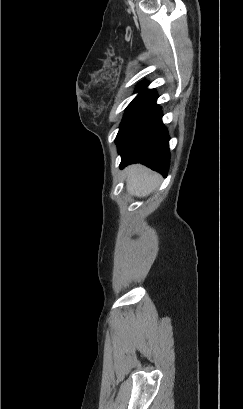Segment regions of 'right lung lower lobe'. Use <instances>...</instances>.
<instances>
[{"label":"right lung lower lobe","instance_id":"right-lung-lower-lobe-1","mask_svg":"<svg viewBox=\"0 0 243 409\" xmlns=\"http://www.w3.org/2000/svg\"><path fill=\"white\" fill-rule=\"evenodd\" d=\"M154 92L131 116L116 137L121 168L132 163H142L167 175L169 168V136L161 118V108L156 104Z\"/></svg>","mask_w":243,"mask_h":409}]
</instances>
